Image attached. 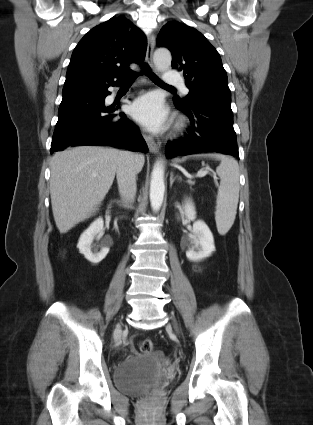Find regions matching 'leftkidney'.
Instances as JSON below:
<instances>
[{"instance_id":"1","label":"left kidney","mask_w":313,"mask_h":425,"mask_svg":"<svg viewBox=\"0 0 313 425\" xmlns=\"http://www.w3.org/2000/svg\"><path fill=\"white\" fill-rule=\"evenodd\" d=\"M184 215L188 220L196 219V211L194 204L188 199L185 201ZM193 234L195 237L194 246L186 251L188 259L200 261L209 257L215 251L213 234L205 222L198 220L193 223Z\"/></svg>"}]
</instances>
